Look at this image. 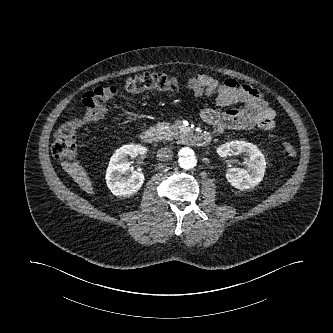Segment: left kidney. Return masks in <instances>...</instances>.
<instances>
[{
    "label": "left kidney",
    "mask_w": 333,
    "mask_h": 333,
    "mask_svg": "<svg viewBox=\"0 0 333 333\" xmlns=\"http://www.w3.org/2000/svg\"><path fill=\"white\" fill-rule=\"evenodd\" d=\"M221 157L245 153L248 158L247 169L229 168L226 173L228 182L240 190L250 189L258 185L263 179L266 161L264 155L256 145L246 141H231L217 149Z\"/></svg>",
    "instance_id": "left-kidney-1"
}]
</instances>
